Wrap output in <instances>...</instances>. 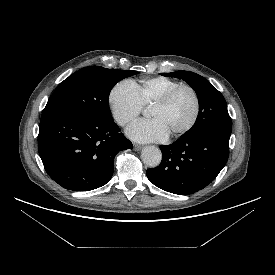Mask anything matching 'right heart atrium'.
<instances>
[{
  "mask_svg": "<svg viewBox=\"0 0 275 275\" xmlns=\"http://www.w3.org/2000/svg\"><path fill=\"white\" fill-rule=\"evenodd\" d=\"M108 103L114 120L120 126H127L143 110L136 84L130 79L121 80L112 87Z\"/></svg>",
  "mask_w": 275,
  "mask_h": 275,
  "instance_id": "1",
  "label": "right heart atrium"
}]
</instances>
